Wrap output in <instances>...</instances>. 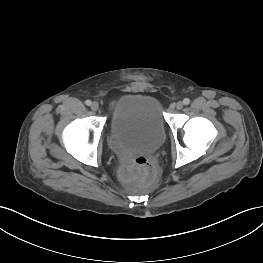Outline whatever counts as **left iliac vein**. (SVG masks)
Listing matches in <instances>:
<instances>
[{
  "label": "left iliac vein",
  "instance_id": "obj_1",
  "mask_svg": "<svg viewBox=\"0 0 263 263\" xmlns=\"http://www.w3.org/2000/svg\"><path fill=\"white\" fill-rule=\"evenodd\" d=\"M183 102L182 101H178L177 103H176V108L178 109V110H180V109H182L183 108Z\"/></svg>",
  "mask_w": 263,
  "mask_h": 263
}]
</instances>
